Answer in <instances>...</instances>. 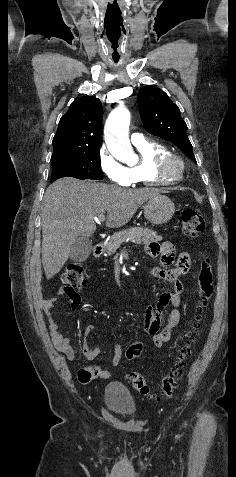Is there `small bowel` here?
Instances as JSON below:
<instances>
[{"label": "small bowel", "instance_id": "c3829d8e", "mask_svg": "<svg viewBox=\"0 0 236 477\" xmlns=\"http://www.w3.org/2000/svg\"><path fill=\"white\" fill-rule=\"evenodd\" d=\"M146 253L151 257H159L161 266L154 269V275L173 285L171 291L164 292L158 299L156 307L148 306L143 320V329L152 338L154 347L161 348L170 340L172 333L177 328L181 320L179 307L181 296L184 291L180 277L186 273L190 267L191 259L188 253L182 252L176 255L175 248L171 242L165 241L161 244L150 243L146 246ZM183 255L188 257V261L182 259ZM186 262V263H185ZM67 296L71 309H76L80 304V296L77 294H66L64 289H59L57 296L45 299L41 308L47 318L51 340L56 349L63 353L68 359L75 358V351L68 339L59 331V324L54 316V306L57 299ZM171 306L173 309L168 313L166 322L161 327V317L165 309ZM96 330L94 325H87L84 329V343L82 353L87 361V366L79 370L77 377L81 384H88L93 379H110V371L100 368L94 360L101 354L102 350L98 346H90L87 342L89 336ZM123 355V347L119 344L113 346V356L111 359L113 366H119Z\"/></svg>", "mask_w": 236, "mask_h": 477}]
</instances>
